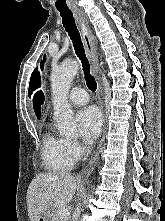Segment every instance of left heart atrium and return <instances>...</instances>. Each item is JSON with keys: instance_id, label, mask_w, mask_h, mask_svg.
<instances>
[{"instance_id": "39dd6f15", "label": "left heart atrium", "mask_w": 165, "mask_h": 221, "mask_svg": "<svg viewBox=\"0 0 165 221\" xmlns=\"http://www.w3.org/2000/svg\"><path fill=\"white\" fill-rule=\"evenodd\" d=\"M77 122L82 139L85 143H92L100 134L102 118L95 107H86L78 112Z\"/></svg>"}]
</instances>
